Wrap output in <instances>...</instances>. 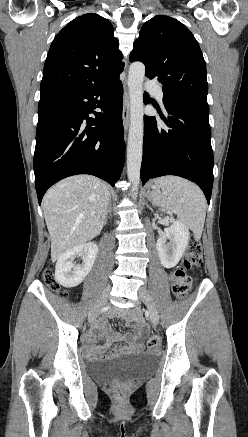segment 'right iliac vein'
Listing matches in <instances>:
<instances>
[{
  "instance_id": "1",
  "label": "right iliac vein",
  "mask_w": 248,
  "mask_h": 437,
  "mask_svg": "<svg viewBox=\"0 0 248 437\" xmlns=\"http://www.w3.org/2000/svg\"><path fill=\"white\" fill-rule=\"evenodd\" d=\"M109 292H110V286H108L103 293L101 294L100 298L98 299L95 306L91 309L89 313V322L92 323L96 317L98 316L100 310L106 305L108 298H109Z\"/></svg>"
}]
</instances>
